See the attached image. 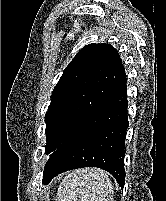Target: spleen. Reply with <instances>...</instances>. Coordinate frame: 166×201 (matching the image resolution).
I'll return each mask as SVG.
<instances>
[{
	"label": "spleen",
	"mask_w": 166,
	"mask_h": 201,
	"mask_svg": "<svg viewBox=\"0 0 166 201\" xmlns=\"http://www.w3.org/2000/svg\"><path fill=\"white\" fill-rule=\"evenodd\" d=\"M113 186L108 175L97 168L69 173L58 188V201H112Z\"/></svg>",
	"instance_id": "1"
}]
</instances>
